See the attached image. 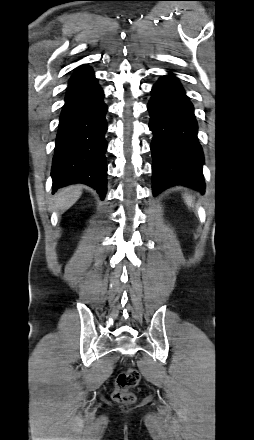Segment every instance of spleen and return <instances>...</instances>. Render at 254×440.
Listing matches in <instances>:
<instances>
[{
	"label": "spleen",
	"mask_w": 254,
	"mask_h": 440,
	"mask_svg": "<svg viewBox=\"0 0 254 440\" xmlns=\"http://www.w3.org/2000/svg\"><path fill=\"white\" fill-rule=\"evenodd\" d=\"M185 201H186V203H187L188 206H190V207L193 206L192 198H191V197H186V198H185Z\"/></svg>",
	"instance_id": "3e777b00"
}]
</instances>
